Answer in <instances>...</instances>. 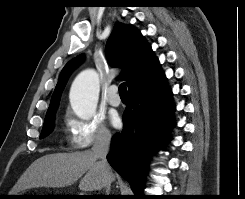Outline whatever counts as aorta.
Instances as JSON below:
<instances>
[{
	"label": "aorta",
	"instance_id": "1",
	"mask_svg": "<svg viewBox=\"0 0 245 199\" xmlns=\"http://www.w3.org/2000/svg\"><path fill=\"white\" fill-rule=\"evenodd\" d=\"M99 77L95 70L82 71L70 90V103L74 112L83 119L94 116L99 96Z\"/></svg>",
	"mask_w": 245,
	"mask_h": 199
}]
</instances>
